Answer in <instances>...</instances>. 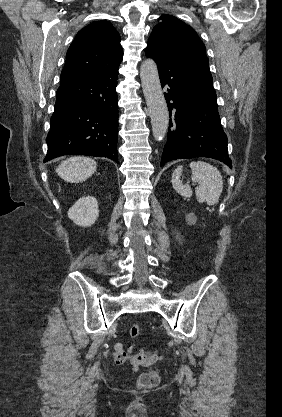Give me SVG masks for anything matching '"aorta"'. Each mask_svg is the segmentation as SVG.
<instances>
[{
	"mask_svg": "<svg viewBox=\"0 0 282 417\" xmlns=\"http://www.w3.org/2000/svg\"><path fill=\"white\" fill-rule=\"evenodd\" d=\"M140 78L150 112L153 136L155 140H163L168 128L169 114L157 64L153 58H146L141 62Z\"/></svg>",
	"mask_w": 282,
	"mask_h": 417,
	"instance_id": "762f6f07",
	"label": "aorta"
}]
</instances>
